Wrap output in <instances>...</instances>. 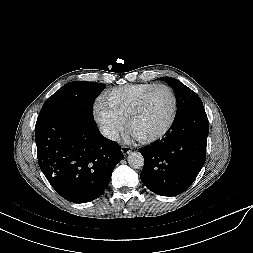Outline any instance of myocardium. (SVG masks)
I'll return each mask as SVG.
<instances>
[{"mask_svg":"<svg viewBox=\"0 0 253 253\" xmlns=\"http://www.w3.org/2000/svg\"><path fill=\"white\" fill-rule=\"evenodd\" d=\"M158 87H163V88L167 89L168 92L170 93V96H171L172 102H173L172 115H171V118H170L169 122L167 123V125L161 131H159L158 133L152 134V135L139 137L138 140L142 143H151V142H154V141H157V140L163 138L169 132V130L173 126V124L176 120V117H177L178 100H177L174 90L167 84L155 83V84L150 85L147 89H145L142 92V94L139 96V98L137 99V102H136L133 110L131 111L128 118L126 119L125 123H126L127 129L130 130L132 123L138 117L149 93Z\"/></svg>","mask_w":253,"mask_h":253,"instance_id":"myocardium-1","label":"myocardium"}]
</instances>
